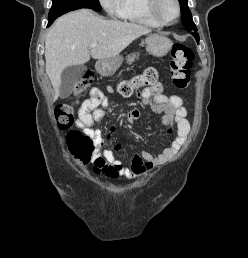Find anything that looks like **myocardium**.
I'll return each mask as SVG.
<instances>
[{"instance_id":"1","label":"myocardium","mask_w":248,"mask_h":258,"mask_svg":"<svg viewBox=\"0 0 248 258\" xmlns=\"http://www.w3.org/2000/svg\"><path fill=\"white\" fill-rule=\"evenodd\" d=\"M158 0H147V10L153 20H155L160 26H166L174 24L180 17L181 7L179 0H173L176 7V15L172 20L163 19L157 11L156 5Z\"/></svg>"}]
</instances>
